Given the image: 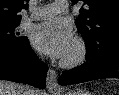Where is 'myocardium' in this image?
<instances>
[{
	"label": "myocardium",
	"instance_id": "obj_1",
	"mask_svg": "<svg viewBox=\"0 0 119 95\" xmlns=\"http://www.w3.org/2000/svg\"><path fill=\"white\" fill-rule=\"evenodd\" d=\"M73 43L75 45V51L73 55L64 57L60 62L61 66L65 68H74L80 66L86 61L88 55V46L82 37H75Z\"/></svg>",
	"mask_w": 119,
	"mask_h": 95
}]
</instances>
